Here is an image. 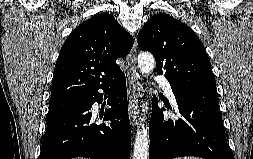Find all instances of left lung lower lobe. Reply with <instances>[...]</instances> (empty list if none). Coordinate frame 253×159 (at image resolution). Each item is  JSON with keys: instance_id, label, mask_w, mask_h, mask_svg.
<instances>
[{"instance_id": "0a47b994", "label": "left lung lower lobe", "mask_w": 253, "mask_h": 159, "mask_svg": "<svg viewBox=\"0 0 253 159\" xmlns=\"http://www.w3.org/2000/svg\"><path fill=\"white\" fill-rule=\"evenodd\" d=\"M172 91L180 118L164 117L155 104L149 123L150 159L197 156L205 159H234L229 148L216 92L178 88Z\"/></svg>"}]
</instances>
